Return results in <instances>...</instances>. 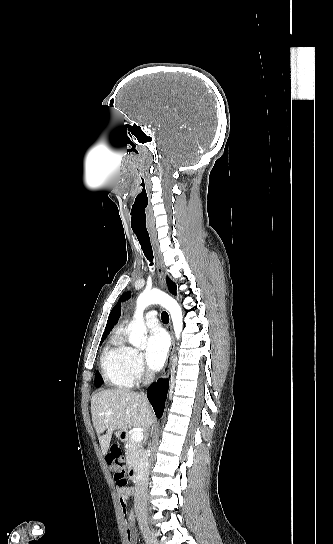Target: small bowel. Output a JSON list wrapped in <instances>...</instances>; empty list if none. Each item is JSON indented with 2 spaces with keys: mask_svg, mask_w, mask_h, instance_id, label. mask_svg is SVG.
<instances>
[{
  "mask_svg": "<svg viewBox=\"0 0 333 544\" xmlns=\"http://www.w3.org/2000/svg\"><path fill=\"white\" fill-rule=\"evenodd\" d=\"M118 495L119 500L121 503V506L124 508L125 514H126V522H127V542L128 544H136L137 541V530L134 525V514L132 511L127 512L126 511V505L127 502L132 498L134 495V488L133 487H119L118 488Z\"/></svg>",
  "mask_w": 333,
  "mask_h": 544,
  "instance_id": "small-bowel-1",
  "label": "small bowel"
}]
</instances>
